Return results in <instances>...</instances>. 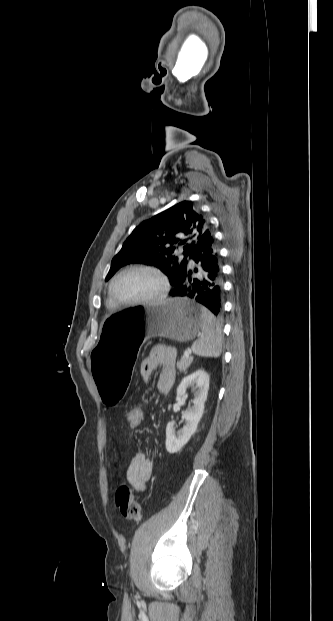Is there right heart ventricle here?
Wrapping results in <instances>:
<instances>
[{"mask_svg": "<svg viewBox=\"0 0 333 621\" xmlns=\"http://www.w3.org/2000/svg\"><path fill=\"white\" fill-rule=\"evenodd\" d=\"M107 303L110 307L114 308L116 305L113 303V301L111 300V298L108 296L107 298Z\"/></svg>", "mask_w": 333, "mask_h": 621, "instance_id": "e07e8e85", "label": "right heart ventricle"}]
</instances>
